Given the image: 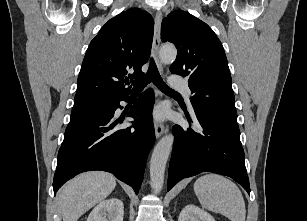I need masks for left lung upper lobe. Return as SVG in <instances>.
<instances>
[{"mask_svg":"<svg viewBox=\"0 0 307 221\" xmlns=\"http://www.w3.org/2000/svg\"><path fill=\"white\" fill-rule=\"evenodd\" d=\"M161 38L177 48L170 71L189 77L193 108L238 127L227 58L213 30L190 13L176 10L162 21Z\"/></svg>","mask_w":307,"mask_h":221,"instance_id":"obj_1","label":"left lung upper lobe"}]
</instances>
